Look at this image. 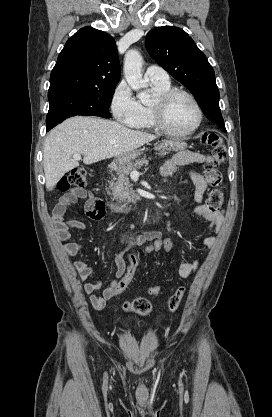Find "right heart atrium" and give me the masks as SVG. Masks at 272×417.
Segmentation results:
<instances>
[{
	"mask_svg": "<svg viewBox=\"0 0 272 417\" xmlns=\"http://www.w3.org/2000/svg\"><path fill=\"white\" fill-rule=\"evenodd\" d=\"M110 108L114 118L128 126L139 117L140 103L125 81H121L115 87L110 100Z\"/></svg>",
	"mask_w": 272,
	"mask_h": 417,
	"instance_id": "right-heart-atrium-1",
	"label": "right heart atrium"
}]
</instances>
